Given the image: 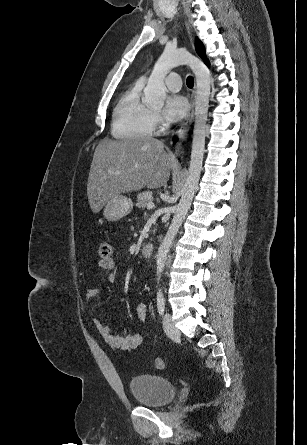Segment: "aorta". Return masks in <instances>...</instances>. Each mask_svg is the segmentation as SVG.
Masks as SVG:
<instances>
[{
    "mask_svg": "<svg viewBox=\"0 0 307 445\" xmlns=\"http://www.w3.org/2000/svg\"><path fill=\"white\" fill-rule=\"evenodd\" d=\"M178 64H188L195 74L197 88L195 96V124L188 176L183 186L182 196L175 208L171 225L156 255V275L158 281H160L164 271L171 243L174 241V237L183 223V218H185V214H187L190 208L194 192H196L198 186L205 150V126L211 88L209 70L202 60H199L197 56H194L185 48L165 46L161 56L154 64L146 88H144L145 96L142 98L144 104H147V106H163L167 92L164 78L169 70L174 68V66H178Z\"/></svg>",
    "mask_w": 307,
    "mask_h": 445,
    "instance_id": "762f6f07",
    "label": "aorta"
}]
</instances>
